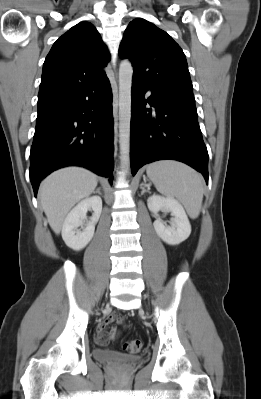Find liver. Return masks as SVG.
Here are the masks:
<instances>
[{
  "instance_id": "obj_1",
  "label": "liver",
  "mask_w": 261,
  "mask_h": 399,
  "mask_svg": "<svg viewBox=\"0 0 261 399\" xmlns=\"http://www.w3.org/2000/svg\"><path fill=\"white\" fill-rule=\"evenodd\" d=\"M97 176L80 167L60 169L42 181L39 197L52 230L59 234L64 219L81 199L91 195L97 186Z\"/></svg>"
}]
</instances>
